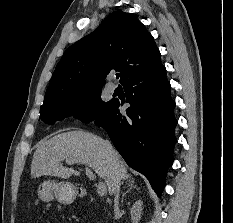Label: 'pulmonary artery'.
Masks as SVG:
<instances>
[{
  "label": "pulmonary artery",
  "mask_w": 233,
  "mask_h": 223,
  "mask_svg": "<svg viewBox=\"0 0 233 223\" xmlns=\"http://www.w3.org/2000/svg\"><path fill=\"white\" fill-rule=\"evenodd\" d=\"M107 89L109 92L113 93L116 89V86L112 83L108 84Z\"/></svg>",
  "instance_id": "e3ab8cb5"
}]
</instances>
